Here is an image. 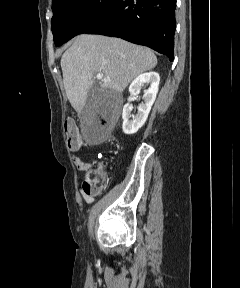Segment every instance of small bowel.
Here are the masks:
<instances>
[{"instance_id": "obj_1", "label": "small bowel", "mask_w": 240, "mask_h": 288, "mask_svg": "<svg viewBox=\"0 0 240 288\" xmlns=\"http://www.w3.org/2000/svg\"><path fill=\"white\" fill-rule=\"evenodd\" d=\"M76 151L75 154H73L72 156V161L74 163V165L76 166V168L79 170V171H84L86 173L92 171V168H93V164L92 163H89V162H85L81 159L80 155H79V149L77 150H74ZM82 197L87 201V202H90L92 201V197L91 196H88L86 195L84 192H82Z\"/></svg>"}]
</instances>
